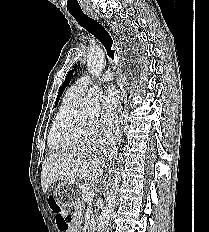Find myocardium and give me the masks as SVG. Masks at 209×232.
Here are the masks:
<instances>
[{
	"label": "myocardium",
	"mask_w": 209,
	"mask_h": 232,
	"mask_svg": "<svg viewBox=\"0 0 209 232\" xmlns=\"http://www.w3.org/2000/svg\"><path fill=\"white\" fill-rule=\"evenodd\" d=\"M70 129L76 134L90 135L95 132L96 125L94 119L79 111L73 118Z\"/></svg>",
	"instance_id": "myocardium-1"
}]
</instances>
